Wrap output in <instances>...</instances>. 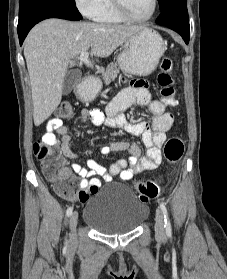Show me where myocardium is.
<instances>
[{
    "instance_id": "1",
    "label": "myocardium",
    "mask_w": 227,
    "mask_h": 279,
    "mask_svg": "<svg viewBox=\"0 0 227 279\" xmlns=\"http://www.w3.org/2000/svg\"><path fill=\"white\" fill-rule=\"evenodd\" d=\"M111 1H112V4H113L116 12L121 17L125 18L126 20L133 21V22H145V21L150 20L156 13L157 6H158V1L152 0V8H151V11L149 12V14L146 15L145 17H135L129 12V10L125 6L123 0H111Z\"/></svg>"
}]
</instances>
